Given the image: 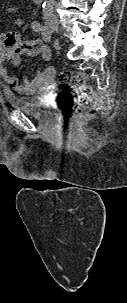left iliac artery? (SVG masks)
I'll list each match as a JSON object with an SVG mask.
<instances>
[{
  "mask_svg": "<svg viewBox=\"0 0 127 303\" xmlns=\"http://www.w3.org/2000/svg\"><path fill=\"white\" fill-rule=\"evenodd\" d=\"M54 8V4L50 2H44L43 3V13L47 14L48 12H51Z\"/></svg>",
  "mask_w": 127,
  "mask_h": 303,
  "instance_id": "left-iliac-artery-1",
  "label": "left iliac artery"
}]
</instances>
